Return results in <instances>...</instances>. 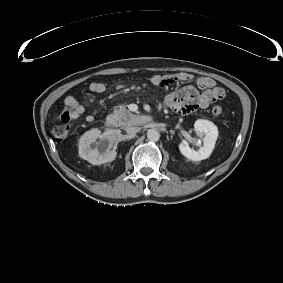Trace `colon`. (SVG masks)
<instances>
[{
	"mask_svg": "<svg viewBox=\"0 0 283 283\" xmlns=\"http://www.w3.org/2000/svg\"><path fill=\"white\" fill-rule=\"evenodd\" d=\"M225 113L224 108L221 105H216L212 108V114L215 117H221ZM69 123L66 118H62V123L55 126L52 130V134L56 140L62 141L64 140L69 133Z\"/></svg>",
	"mask_w": 283,
	"mask_h": 283,
	"instance_id": "5ec220e1",
	"label": "colon"
}]
</instances>
